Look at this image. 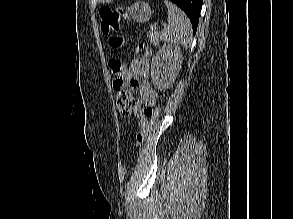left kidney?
Segmentation results:
<instances>
[{
	"label": "left kidney",
	"instance_id": "1",
	"mask_svg": "<svg viewBox=\"0 0 293 219\" xmlns=\"http://www.w3.org/2000/svg\"><path fill=\"white\" fill-rule=\"evenodd\" d=\"M182 51L176 45L164 44L152 59L151 79L160 91L174 83L181 66Z\"/></svg>",
	"mask_w": 293,
	"mask_h": 219
}]
</instances>
